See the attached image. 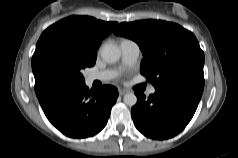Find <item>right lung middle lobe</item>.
<instances>
[{"instance_id": "1", "label": "right lung middle lobe", "mask_w": 238, "mask_h": 158, "mask_svg": "<svg viewBox=\"0 0 238 158\" xmlns=\"http://www.w3.org/2000/svg\"><path fill=\"white\" fill-rule=\"evenodd\" d=\"M96 55L79 42L54 33H42L32 57L34 77L53 75L60 79L85 83L82 70L95 64Z\"/></svg>"}]
</instances>
